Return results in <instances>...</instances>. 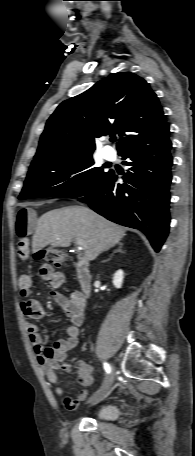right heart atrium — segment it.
I'll use <instances>...</instances> for the list:
<instances>
[{
	"mask_svg": "<svg viewBox=\"0 0 195 456\" xmlns=\"http://www.w3.org/2000/svg\"><path fill=\"white\" fill-rule=\"evenodd\" d=\"M83 174V170L78 166H70L63 172V179L66 182H74L78 180Z\"/></svg>",
	"mask_w": 195,
	"mask_h": 456,
	"instance_id": "d8ad5b80",
	"label": "right heart atrium"
}]
</instances>
